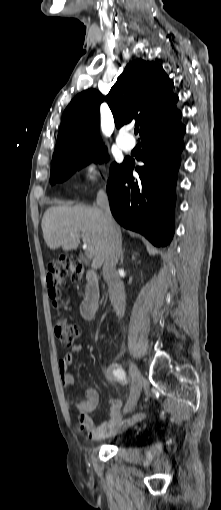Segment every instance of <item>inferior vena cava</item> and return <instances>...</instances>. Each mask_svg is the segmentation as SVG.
<instances>
[{
    "label": "inferior vena cava",
    "mask_w": 221,
    "mask_h": 510,
    "mask_svg": "<svg viewBox=\"0 0 221 510\" xmlns=\"http://www.w3.org/2000/svg\"><path fill=\"white\" fill-rule=\"evenodd\" d=\"M96 202L103 213L105 229L108 233V242L104 254L103 277L109 285L110 297L116 315L122 318L126 307L125 290L116 271V265L121 254V234L111 214L108 196L104 190H100L97 193Z\"/></svg>",
    "instance_id": "602c4592"
}]
</instances>
